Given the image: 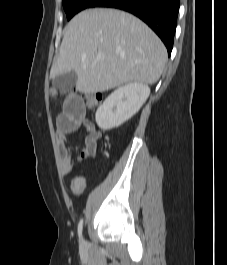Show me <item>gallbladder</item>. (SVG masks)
I'll use <instances>...</instances> for the list:
<instances>
[{
    "mask_svg": "<svg viewBox=\"0 0 227 265\" xmlns=\"http://www.w3.org/2000/svg\"><path fill=\"white\" fill-rule=\"evenodd\" d=\"M77 82V75L74 71H70L61 75H58L53 79L52 85L54 88L60 90L71 89Z\"/></svg>",
    "mask_w": 227,
    "mask_h": 265,
    "instance_id": "obj_1",
    "label": "gallbladder"
}]
</instances>
